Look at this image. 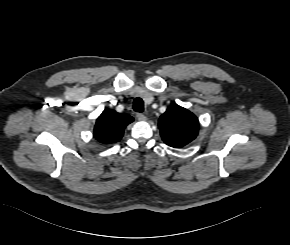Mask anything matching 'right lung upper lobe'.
<instances>
[{"instance_id": "cb5924a9", "label": "right lung upper lobe", "mask_w": 290, "mask_h": 245, "mask_svg": "<svg viewBox=\"0 0 290 245\" xmlns=\"http://www.w3.org/2000/svg\"><path fill=\"white\" fill-rule=\"evenodd\" d=\"M133 121V117L127 114L104 110L96 121L94 136L104 144L118 142L123 136L125 127Z\"/></svg>"}]
</instances>
